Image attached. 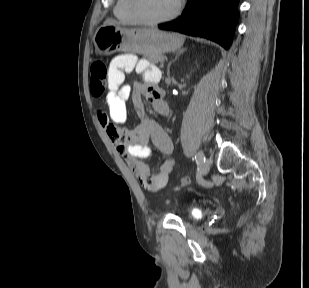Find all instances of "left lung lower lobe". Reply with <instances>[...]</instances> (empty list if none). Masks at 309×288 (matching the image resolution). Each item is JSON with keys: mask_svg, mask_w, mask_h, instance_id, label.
I'll list each match as a JSON object with an SVG mask.
<instances>
[{"mask_svg": "<svg viewBox=\"0 0 309 288\" xmlns=\"http://www.w3.org/2000/svg\"><path fill=\"white\" fill-rule=\"evenodd\" d=\"M238 0H188L183 14L159 29L208 38L225 49L231 45L239 13Z\"/></svg>", "mask_w": 309, "mask_h": 288, "instance_id": "left-lung-lower-lobe-1", "label": "left lung lower lobe"}]
</instances>
